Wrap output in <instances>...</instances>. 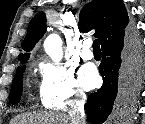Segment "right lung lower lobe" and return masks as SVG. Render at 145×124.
<instances>
[{"label": "right lung lower lobe", "mask_w": 145, "mask_h": 124, "mask_svg": "<svg viewBox=\"0 0 145 124\" xmlns=\"http://www.w3.org/2000/svg\"><path fill=\"white\" fill-rule=\"evenodd\" d=\"M101 48L99 70L103 85L89 95L85 106L87 118L93 124H102L107 119L115 101L132 104L139 91L144 65L140 38L130 28L109 37Z\"/></svg>", "instance_id": "1"}]
</instances>
